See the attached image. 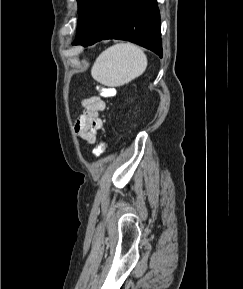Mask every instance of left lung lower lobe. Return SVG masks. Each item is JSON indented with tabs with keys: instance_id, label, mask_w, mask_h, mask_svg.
Listing matches in <instances>:
<instances>
[{
	"instance_id": "obj_1",
	"label": "left lung lower lobe",
	"mask_w": 243,
	"mask_h": 289,
	"mask_svg": "<svg viewBox=\"0 0 243 289\" xmlns=\"http://www.w3.org/2000/svg\"><path fill=\"white\" fill-rule=\"evenodd\" d=\"M74 45L88 46L103 39L137 43L162 57L157 0H89L79 13Z\"/></svg>"
}]
</instances>
